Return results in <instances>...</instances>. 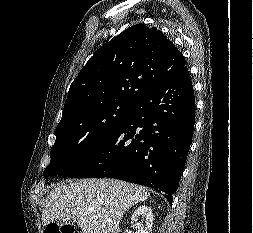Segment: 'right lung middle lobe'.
<instances>
[{"instance_id": "obj_1", "label": "right lung middle lobe", "mask_w": 253, "mask_h": 233, "mask_svg": "<svg viewBox=\"0 0 253 233\" xmlns=\"http://www.w3.org/2000/svg\"><path fill=\"white\" fill-rule=\"evenodd\" d=\"M133 104L131 100H105L63 116L44 177L63 172L100 147L125 121Z\"/></svg>"}]
</instances>
